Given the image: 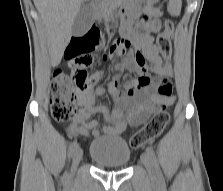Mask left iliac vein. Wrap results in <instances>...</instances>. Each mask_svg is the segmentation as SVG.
<instances>
[{
  "mask_svg": "<svg viewBox=\"0 0 223 191\" xmlns=\"http://www.w3.org/2000/svg\"><path fill=\"white\" fill-rule=\"evenodd\" d=\"M141 162L145 166L148 175L152 181H155L156 175L153 167L152 160L150 159L149 155L147 153H142L141 155Z\"/></svg>",
  "mask_w": 223,
  "mask_h": 191,
  "instance_id": "4c4485c4",
  "label": "left iliac vein"
}]
</instances>
